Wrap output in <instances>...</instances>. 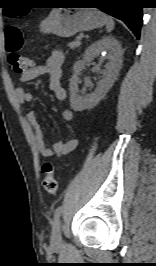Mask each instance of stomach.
Wrapping results in <instances>:
<instances>
[{
  "mask_svg": "<svg viewBox=\"0 0 156 266\" xmlns=\"http://www.w3.org/2000/svg\"><path fill=\"white\" fill-rule=\"evenodd\" d=\"M73 5V3H65ZM105 24V14L97 9H54L41 23V31L45 34H55L70 37L79 31H88Z\"/></svg>",
  "mask_w": 156,
  "mask_h": 266,
  "instance_id": "obj_1",
  "label": "stomach"
}]
</instances>
